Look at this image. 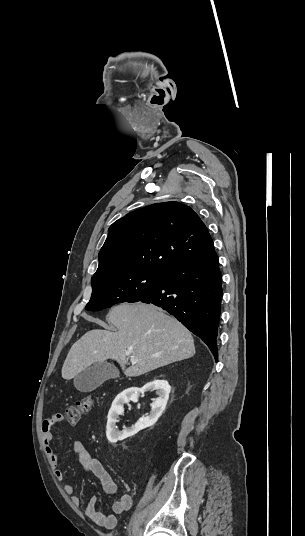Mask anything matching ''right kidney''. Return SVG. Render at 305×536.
Segmentation results:
<instances>
[{
    "instance_id": "ca27d5eb",
    "label": "right kidney",
    "mask_w": 305,
    "mask_h": 536,
    "mask_svg": "<svg viewBox=\"0 0 305 536\" xmlns=\"http://www.w3.org/2000/svg\"><path fill=\"white\" fill-rule=\"evenodd\" d=\"M148 390H156V394L159 396V398H155L152 404H150V416L142 418V420L138 422L137 426H135L133 430H122V432H119L116 422H118V416H120L124 410L123 404H128V402H130L134 396L137 398L138 394H136V392H148ZM170 392L171 386H169L167 380H153V382H148V384H145L141 390L140 388H128V390H125V392L119 394V396L115 398L111 406V410H109V414L107 416L108 422L106 436L109 442H111V444H116V442H119V440H125V438L132 436V434H136L138 430H143V428L154 426L155 422H157L158 418H160L162 412H164L166 408Z\"/></svg>"
}]
</instances>
